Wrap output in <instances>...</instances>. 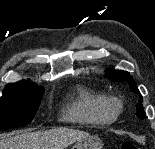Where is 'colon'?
Returning a JSON list of instances; mask_svg holds the SVG:
<instances>
[{
    "label": "colon",
    "instance_id": "1",
    "mask_svg": "<svg viewBox=\"0 0 155 149\" xmlns=\"http://www.w3.org/2000/svg\"><path fill=\"white\" fill-rule=\"evenodd\" d=\"M121 149H138V147L134 143L126 141L121 145Z\"/></svg>",
    "mask_w": 155,
    "mask_h": 149
}]
</instances>
